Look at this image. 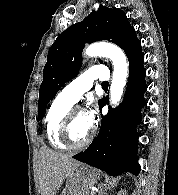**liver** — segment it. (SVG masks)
Here are the masks:
<instances>
[{"label": "liver", "instance_id": "liver-1", "mask_svg": "<svg viewBox=\"0 0 178 195\" xmlns=\"http://www.w3.org/2000/svg\"><path fill=\"white\" fill-rule=\"evenodd\" d=\"M81 165L67 154L42 147L38 166L41 195H56L63 182Z\"/></svg>", "mask_w": 178, "mask_h": 195}]
</instances>
